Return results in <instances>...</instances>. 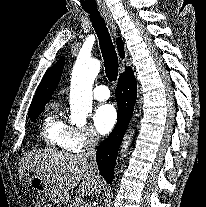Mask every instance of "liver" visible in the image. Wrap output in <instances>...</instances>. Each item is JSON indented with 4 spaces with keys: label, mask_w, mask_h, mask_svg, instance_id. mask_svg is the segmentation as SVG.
I'll list each match as a JSON object with an SVG mask.
<instances>
[{
    "label": "liver",
    "mask_w": 206,
    "mask_h": 207,
    "mask_svg": "<svg viewBox=\"0 0 206 207\" xmlns=\"http://www.w3.org/2000/svg\"><path fill=\"white\" fill-rule=\"evenodd\" d=\"M26 169L43 178L50 187L49 196L58 204L66 203L69 191L79 186V196H91L101 191V177L89 169L87 161L80 155L56 150H37L26 154L19 169L20 178Z\"/></svg>",
    "instance_id": "liver-1"
}]
</instances>
